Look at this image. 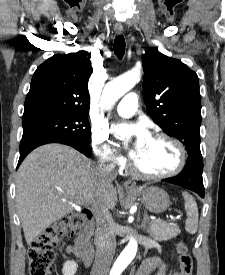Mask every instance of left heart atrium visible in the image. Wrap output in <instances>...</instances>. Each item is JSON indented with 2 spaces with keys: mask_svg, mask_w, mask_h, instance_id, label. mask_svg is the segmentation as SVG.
I'll return each mask as SVG.
<instances>
[{
  "mask_svg": "<svg viewBox=\"0 0 225 275\" xmlns=\"http://www.w3.org/2000/svg\"><path fill=\"white\" fill-rule=\"evenodd\" d=\"M116 136L123 140L131 142L129 155L136 159L144 144L150 139L151 135L144 125L137 123H123L114 128Z\"/></svg>",
  "mask_w": 225,
  "mask_h": 275,
  "instance_id": "1",
  "label": "left heart atrium"
}]
</instances>
